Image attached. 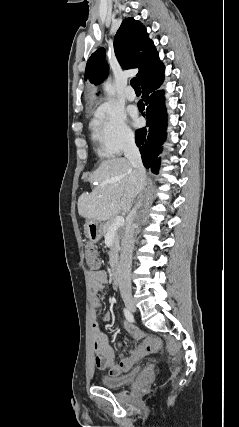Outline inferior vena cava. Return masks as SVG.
<instances>
[{"instance_id": "1", "label": "inferior vena cava", "mask_w": 239, "mask_h": 427, "mask_svg": "<svg viewBox=\"0 0 239 427\" xmlns=\"http://www.w3.org/2000/svg\"><path fill=\"white\" fill-rule=\"evenodd\" d=\"M124 155L130 161L134 171L139 179V196L135 208L130 212L128 222L121 242V254L118 265L119 288L121 291L131 289V264L132 252L134 248V221L138 215V209L142 206V191L145 187L146 172L142 163L139 148L135 143L134 137H129L126 140L124 147Z\"/></svg>"}]
</instances>
